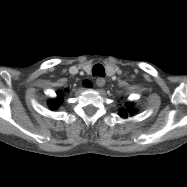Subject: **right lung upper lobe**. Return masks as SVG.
<instances>
[{
	"instance_id": "cb5924a9",
	"label": "right lung upper lobe",
	"mask_w": 187,
	"mask_h": 187,
	"mask_svg": "<svg viewBox=\"0 0 187 187\" xmlns=\"http://www.w3.org/2000/svg\"><path fill=\"white\" fill-rule=\"evenodd\" d=\"M58 97H59V98L57 99V101H49V107H50L52 110L57 109L58 103H59L60 100L62 99V97H61L60 94L58 95Z\"/></svg>"
}]
</instances>
